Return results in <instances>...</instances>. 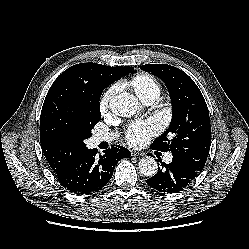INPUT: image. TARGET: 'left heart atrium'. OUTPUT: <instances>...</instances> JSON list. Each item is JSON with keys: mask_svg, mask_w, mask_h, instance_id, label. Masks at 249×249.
Instances as JSON below:
<instances>
[{"mask_svg": "<svg viewBox=\"0 0 249 249\" xmlns=\"http://www.w3.org/2000/svg\"><path fill=\"white\" fill-rule=\"evenodd\" d=\"M160 130L156 119L137 120L132 122L125 132V140L130 146L142 147Z\"/></svg>", "mask_w": 249, "mask_h": 249, "instance_id": "39dd6f15", "label": "left heart atrium"}]
</instances>
